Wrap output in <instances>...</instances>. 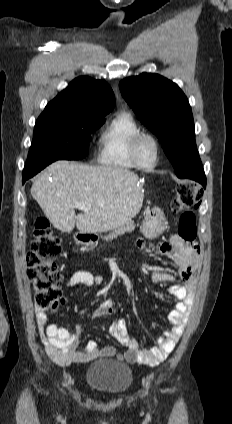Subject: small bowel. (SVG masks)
Instances as JSON below:
<instances>
[{
    "instance_id": "small-bowel-1",
    "label": "small bowel",
    "mask_w": 232,
    "mask_h": 424,
    "mask_svg": "<svg viewBox=\"0 0 232 424\" xmlns=\"http://www.w3.org/2000/svg\"><path fill=\"white\" fill-rule=\"evenodd\" d=\"M139 248H146V242L139 238L136 240ZM157 251L165 257L173 260L179 268V277L182 284H174L168 287V292L176 300L177 304L169 312L168 319L172 325L170 330L158 338V345L150 349H141L137 341L129 336L127 322L117 319L109 327V334L126 351L117 357L131 363H141L154 367L162 363L174 350L181 338L188 318L194 305L196 286L195 272L200 264V247L196 243L184 242L178 235L173 234L169 239L157 245ZM174 280L170 272H155L152 274L154 283H166ZM102 276L94 275L87 270H77L70 274L66 287L99 286L103 283ZM116 313V308L111 299H106L93 311L91 320ZM38 330L48 356L56 364L68 366L76 363H86L93 359L116 355V349L112 346L100 348L95 341H89L85 347L80 348V337L84 324H79L74 330L58 327L49 323L45 311L35 308Z\"/></svg>"
}]
</instances>
